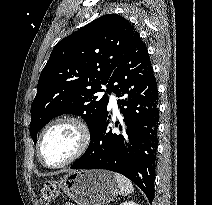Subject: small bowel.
Here are the masks:
<instances>
[{
    "instance_id": "obj_1",
    "label": "small bowel",
    "mask_w": 212,
    "mask_h": 205,
    "mask_svg": "<svg viewBox=\"0 0 212 205\" xmlns=\"http://www.w3.org/2000/svg\"><path fill=\"white\" fill-rule=\"evenodd\" d=\"M65 205H74V204H71V203H67V204H65Z\"/></svg>"
}]
</instances>
